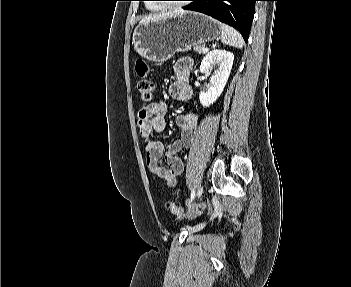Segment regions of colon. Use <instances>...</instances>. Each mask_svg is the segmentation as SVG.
<instances>
[{
  "mask_svg": "<svg viewBox=\"0 0 351 287\" xmlns=\"http://www.w3.org/2000/svg\"><path fill=\"white\" fill-rule=\"evenodd\" d=\"M135 70L138 76L141 77L137 84L138 97L140 102L147 106L152 103L155 97V85L151 80L146 78L147 74L149 73V66L144 60L138 59L135 62ZM166 208L176 217L191 216L190 213L172 201L166 204Z\"/></svg>",
  "mask_w": 351,
  "mask_h": 287,
  "instance_id": "obj_1",
  "label": "colon"
}]
</instances>
